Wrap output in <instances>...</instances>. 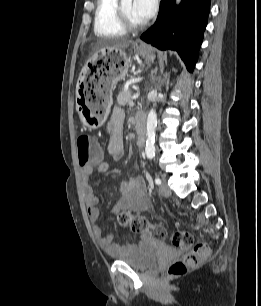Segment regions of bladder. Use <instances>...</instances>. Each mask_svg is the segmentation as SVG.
I'll use <instances>...</instances> for the list:
<instances>
[{"label": "bladder", "instance_id": "bladder-1", "mask_svg": "<svg viewBox=\"0 0 261 306\" xmlns=\"http://www.w3.org/2000/svg\"><path fill=\"white\" fill-rule=\"evenodd\" d=\"M108 258L125 263L135 269L145 270L157 263L158 254L154 241L143 239L125 253L114 254Z\"/></svg>", "mask_w": 261, "mask_h": 306}]
</instances>
